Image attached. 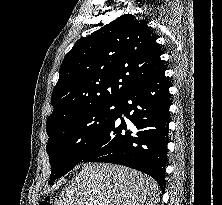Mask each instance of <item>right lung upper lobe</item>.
Wrapping results in <instances>:
<instances>
[{"label": "right lung upper lobe", "mask_w": 222, "mask_h": 205, "mask_svg": "<svg viewBox=\"0 0 222 205\" xmlns=\"http://www.w3.org/2000/svg\"><path fill=\"white\" fill-rule=\"evenodd\" d=\"M156 36L132 14L79 39L66 54L46 125L88 106L120 102L126 92L164 69Z\"/></svg>", "instance_id": "1"}]
</instances>
